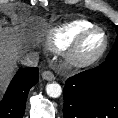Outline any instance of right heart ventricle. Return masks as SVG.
Here are the masks:
<instances>
[{"instance_id": "e07e8e85", "label": "right heart ventricle", "mask_w": 118, "mask_h": 118, "mask_svg": "<svg viewBox=\"0 0 118 118\" xmlns=\"http://www.w3.org/2000/svg\"><path fill=\"white\" fill-rule=\"evenodd\" d=\"M94 26L92 22L84 19L64 23L49 32L46 45L52 52H62L72 45L80 33Z\"/></svg>"}]
</instances>
